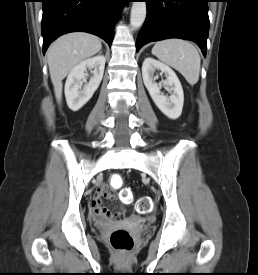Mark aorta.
Masks as SVG:
<instances>
[{
  "label": "aorta",
  "instance_id": "aorta-1",
  "mask_svg": "<svg viewBox=\"0 0 258 275\" xmlns=\"http://www.w3.org/2000/svg\"><path fill=\"white\" fill-rule=\"evenodd\" d=\"M146 3L133 2L130 15V24L133 28L137 29L142 26L146 18Z\"/></svg>",
  "mask_w": 258,
  "mask_h": 275
}]
</instances>
